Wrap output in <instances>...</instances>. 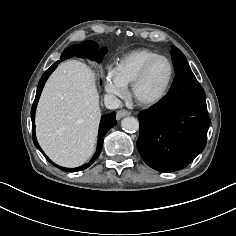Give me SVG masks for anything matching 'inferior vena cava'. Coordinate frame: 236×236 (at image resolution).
Returning <instances> with one entry per match:
<instances>
[{
	"mask_svg": "<svg viewBox=\"0 0 236 236\" xmlns=\"http://www.w3.org/2000/svg\"><path fill=\"white\" fill-rule=\"evenodd\" d=\"M104 104L108 109H117L122 106L121 101L114 95H105Z\"/></svg>",
	"mask_w": 236,
	"mask_h": 236,
	"instance_id": "inferior-vena-cava-1",
	"label": "inferior vena cava"
}]
</instances>
